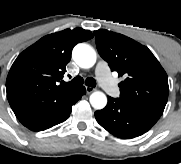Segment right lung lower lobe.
<instances>
[{
	"instance_id": "98d812e1",
	"label": "right lung lower lobe",
	"mask_w": 181,
	"mask_h": 164,
	"mask_svg": "<svg viewBox=\"0 0 181 164\" xmlns=\"http://www.w3.org/2000/svg\"><path fill=\"white\" fill-rule=\"evenodd\" d=\"M86 93L85 87H77L71 94L43 109H28L14 112L18 120L32 131H42L65 121L72 106Z\"/></svg>"
}]
</instances>
